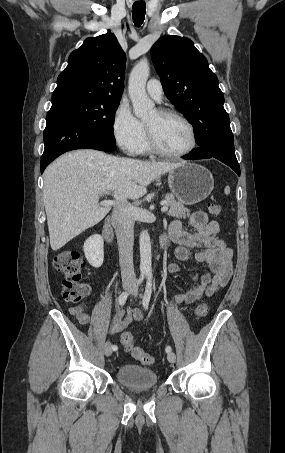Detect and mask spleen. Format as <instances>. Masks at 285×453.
<instances>
[{
    "instance_id": "1",
    "label": "spleen",
    "mask_w": 285,
    "mask_h": 453,
    "mask_svg": "<svg viewBox=\"0 0 285 453\" xmlns=\"http://www.w3.org/2000/svg\"><path fill=\"white\" fill-rule=\"evenodd\" d=\"M224 193L226 195H228L230 193V187L229 186H226L225 189H224Z\"/></svg>"
}]
</instances>
